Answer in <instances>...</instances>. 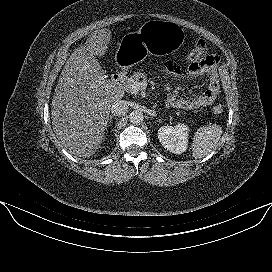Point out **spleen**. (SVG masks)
<instances>
[{
  "label": "spleen",
  "instance_id": "3e777b00",
  "mask_svg": "<svg viewBox=\"0 0 272 272\" xmlns=\"http://www.w3.org/2000/svg\"><path fill=\"white\" fill-rule=\"evenodd\" d=\"M222 135V127L213 124L200 127L194 134L192 154L195 159L207 156L217 146Z\"/></svg>",
  "mask_w": 272,
  "mask_h": 272
}]
</instances>
